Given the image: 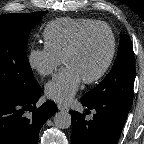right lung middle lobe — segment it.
Returning a JSON list of instances; mask_svg holds the SVG:
<instances>
[{
  "mask_svg": "<svg viewBox=\"0 0 144 144\" xmlns=\"http://www.w3.org/2000/svg\"><path fill=\"white\" fill-rule=\"evenodd\" d=\"M46 13H14L0 17V95L25 94L39 86L28 62L26 47L29 32Z\"/></svg>",
  "mask_w": 144,
  "mask_h": 144,
  "instance_id": "right-lung-middle-lobe-1",
  "label": "right lung middle lobe"
}]
</instances>
